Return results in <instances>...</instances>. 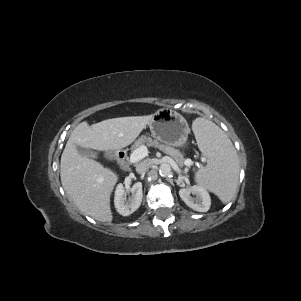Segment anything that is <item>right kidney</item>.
Returning <instances> with one entry per match:
<instances>
[{
    "instance_id": "1",
    "label": "right kidney",
    "mask_w": 301,
    "mask_h": 301,
    "mask_svg": "<svg viewBox=\"0 0 301 301\" xmlns=\"http://www.w3.org/2000/svg\"><path fill=\"white\" fill-rule=\"evenodd\" d=\"M132 195L127 199L124 187L118 184L115 190L114 205L119 214L129 216L134 213L141 205L143 194L142 184L135 183L130 189Z\"/></svg>"
}]
</instances>
